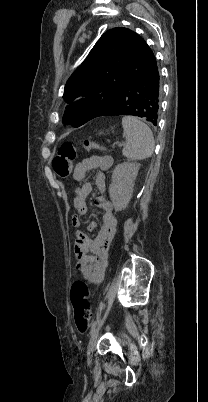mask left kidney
Instances as JSON below:
<instances>
[{"label":"left kidney","mask_w":208,"mask_h":402,"mask_svg":"<svg viewBox=\"0 0 208 402\" xmlns=\"http://www.w3.org/2000/svg\"><path fill=\"white\" fill-rule=\"evenodd\" d=\"M140 166L141 164H137V162H123L116 166L109 186V196L115 212H121L127 208L132 198L134 180H136Z\"/></svg>","instance_id":"left-kidney-1"}]
</instances>
